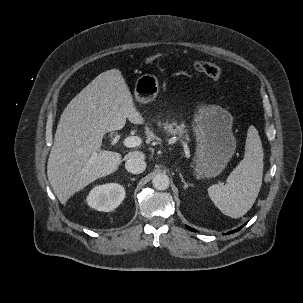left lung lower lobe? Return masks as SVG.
<instances>
[{"mask_svg":"<svg viewBox=\"0 0 303 303\" xmlns=\"http://www.w3.org/2000/svg\"><path fill=\"white\" fill-rule=\"evenodd\" d=\"M243 226H244V225H243ZM243 226H241L240 228H238V229H236V230H234V231H231V233L237 232V231L240 230ZM186 227H187L189 230L195 232V229H193V228H191V227H189V226H186Z\"/></svg>","mask_w":303,"mask_h":303,"instance_id":"obj_1","label":"left lung lower lobe"}]
</instances>
